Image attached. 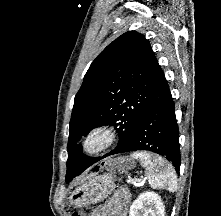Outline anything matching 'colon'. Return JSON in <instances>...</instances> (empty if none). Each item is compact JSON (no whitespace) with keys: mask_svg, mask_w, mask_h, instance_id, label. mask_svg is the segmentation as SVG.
<instances>
[{"mask_svg":"<svg viewBox=\"0 0 221 216\" xmlns=\"http://www.w3.org/2000/svg\"><path fill=\"white\" fill-rule=\"evenodd\" d=\"M133 166V162L129 158H121L118 160L109 161L105 164L104 168H118L119 170H128ZM72 216H89L86 211L74 212Z\"/></svg>","mask_w":221,"mask_h":216,"instance_id":"1","label":"colon"}]
</instances>
